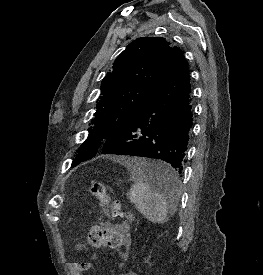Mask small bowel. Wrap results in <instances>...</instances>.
Here are the masks:
<instances>
[{"mask_svg":"<svg viewBox=\"0 0 263 275\" xmlns=\"http://www.w3.org/2000/svg\"><path fill=\"white\" fill-rule=\"evenodd\" d=\"M111 228L116 232L118 236V244L116 247L119 250V255L121 258H125L127 254V250L129 249L131 244L130 226L126 222H120V223L113 224ZM121 275H137V274L127 273V274H121Z\"/></svg>","mask_w":263,"mask_h":275,"instance_id":"small-bowel-1","label":"small bowel"}]
</instances>
